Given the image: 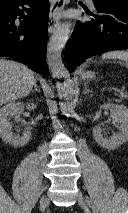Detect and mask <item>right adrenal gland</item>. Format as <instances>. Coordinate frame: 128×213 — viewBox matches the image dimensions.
<instances>
[{
    "label": "right adrenal gland",
    "instance_id": "1",
    "mask_svg": "<svg viewBox=\"0 0 128 213\" xmlns=\"http://www.w3.org/2000/svg\"><path fill=\"white\" fill-rule=\"evenodd\" d=\"M35 91L40 93V89L36 83L34 84V89L32 90V93H34Z\"/></svg>",
    "mask_w": 128,
    "mask_h": 213
}]
</instances>
